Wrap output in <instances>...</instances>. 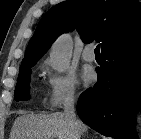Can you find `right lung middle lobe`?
Listing matches in <instances>:
<instances>
[{"label":"right lung middle lobe","mask_w":141,"mask_h":139,"mask_svg":"<svg viewBox=\"0 0 141 139\" xmlns=\"http://www.w3.org/2000/svg\"><path fill=\"white\" fill-rule=\"evenodd\" d=\"M31 66H26L20 68V73L17 80L16 90H15V99L16 101L20 100H28L29 96V85H30V74H31Z\"/></svg>","instance_id":"right-lung-middle-lobe-1"}]
</instances>
